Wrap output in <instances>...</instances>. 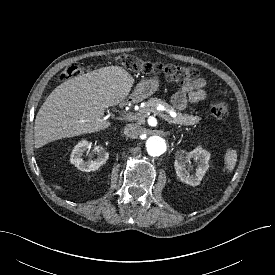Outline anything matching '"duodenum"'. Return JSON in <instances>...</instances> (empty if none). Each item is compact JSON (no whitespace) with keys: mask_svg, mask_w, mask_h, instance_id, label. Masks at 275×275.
Masks as SVG:
<instances>
[{"mask_svg":"<svg viewBox=\"0 0 275 275\" xmlns=\"http://www.w3.org/2000/svg\"><path fill=\"white\" fill-rule=\"evenodd\" d=\"M130 102H132V99H131V98L127 99L123 105H126V104H128V103H130Z\"/></svg>","mask_w":275,"mask_h":275,"instance_id":"1","label":"duodenum"}]
</instances>
